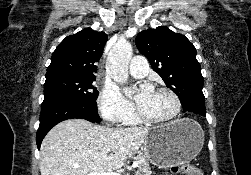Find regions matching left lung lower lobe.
I'll return each mask as SVG.
<instances>
[{
	"instance_id": "left-lung-lower-lobe-1",
	"label": "left lung lower lobe",
	"mask_w": 251,
	"mask_h": 175,
	"mask_svg": "<svg viewBox=\"0 0 251 175\" xmlns=\"http://www.w3.org/2000/svg\"><path fill=\"white\" fill-rule=\"evenodd\" d=\"M183 110L191 117L199 118L206 116L205 104L183 105Z\"/></svg>"
}]
</instances>
